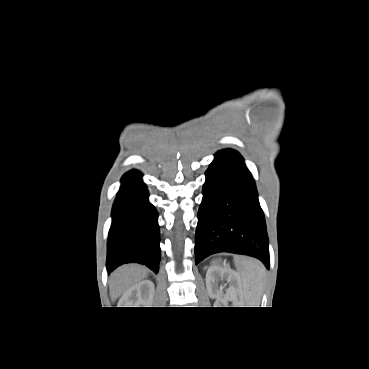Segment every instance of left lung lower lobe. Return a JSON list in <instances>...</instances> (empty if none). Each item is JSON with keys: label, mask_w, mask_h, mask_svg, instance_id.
<instances>
[{"label": "left lung lower lobe", "mask_w": 369, "mask_h": 369, "mask_svg": "<svg viewBox=\"0 0 369 369\" xmlns=\"http://www.w3.org/2000/svg\"><path fill=\"white\" fill-rule=\"evenodd\" d=\"M198 211L195 263L218 252L260 259L269 268L266 224L253 177L242 156L225 149L206 171Z\"/></svg>", "instance_id": "left-lung-lower-lobe-1"}]
</instances>
